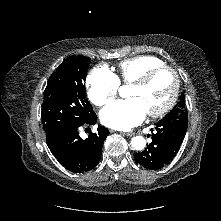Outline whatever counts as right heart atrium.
<instances>
[{"label":"right heart atrium","instance_id":"d8ad5b80","mask_svg":"<svg viewBox=\"0 0 221 221\" xmlns=\"http://www.w3.org/2000/svg\"><path fill=\"white\" fill-rule=\"evenodd\" d=\"M88 98L96 106L111 101L118 92L120 82L105 66L94 67L87 76Z\"/></svg>","mask_w":221,"mask_h":221}]
</instances>
